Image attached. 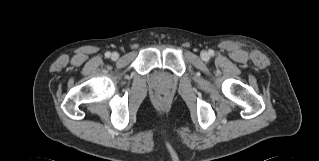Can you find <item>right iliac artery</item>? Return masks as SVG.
Wrapping results in <instances>:
<instances>
[{
    "instance_id": "obj_1",
    "label": "right iliac artery",
    "mask_w": 319,
    "mask_h": 161,
    "mask_svg": "<svg viewBox=\"0 0 319 161\" xmlns=\"http://www.w3.org/2000/svg\"><path fill=\"white\" fill-rule=\"evenodd\" d=\"M111 56V53L110 52H106L105 53V57L109 58Z\"/></svg>"
}]
</instances>
